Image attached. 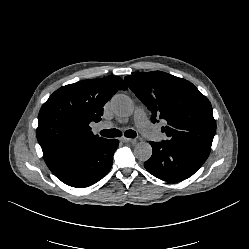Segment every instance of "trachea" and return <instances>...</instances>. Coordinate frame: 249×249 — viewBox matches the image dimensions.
<instances>
[{
	"instance_id": "obj_1",
	"label": "trachea",
	"mask_w": 249,
	"mask_h": 249,
	"mask_svg": "<svg viewBox=\"0 0 249 249\" xmlns=\"http://www.w3.org/2000/svg\"><path fill=\"white\" fill-rule=\"evenodd\" d=\"M100 134L108 138L119 137L122 135V133L117 129H104ZM124 135L128 138H135L137 133L134 130H127Z\"/></svg>"
}]
</instances>
